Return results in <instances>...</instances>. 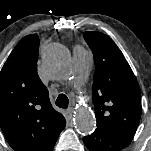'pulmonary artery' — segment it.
<instances>
[{"mask_svg": "<svg viewBox=\"0 0 151 151\" xmlns=\"http://www.w3.org/2000/svg\"><path fill=\"white\" fill-rule=\"evenodd\" d=\"M92 62V54L81 46H76L73 51V75L75 80L82 84L89 72Z\"/></svg>", "mask_w": 151, "mask_h": 151, "instance_id": "1", "label": "pulmonary artery"}]
</instances>
